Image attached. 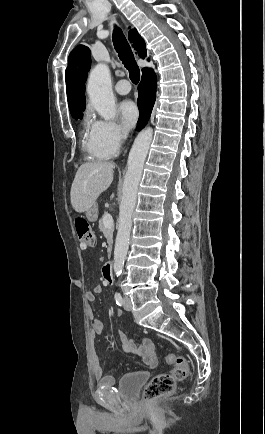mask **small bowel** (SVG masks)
<instances>
[{
	"label": "small bowel",
	"instance_id": "obj_1",
	"mask_svg": "<svg viewBox=\"0 0 265 434\" xmlns=\"http://www.w3.org/2000/svg\"><path fill=\"white\" fill-rule=\"evenodd\" d=\"M102 292V286L96 285L91 291H88L85 295L86 301L89 304L95 302L96 295ZM117 318H122L123 314L121 310L116 311ZM90 318L92 320V335L97 336L100 335L103 331V323L100 319L94 318L92 311H90ZM120 340L122 342L123 350L126 352L136 353L141 356L151 367H155L156 353L155 346L152 340L148 337H142L140 340L129 338L125 334L120 335ZM93 365V373L96 378H100L99 385L100 387H110L112 381L110 378H105L103 376L102 367L100 364V359L98 355H94L92 359Z\"/></svg>",
	"mask_w": 265,
	"mask_h": 434
}]
</instances>
